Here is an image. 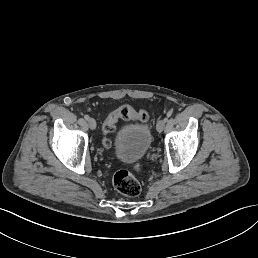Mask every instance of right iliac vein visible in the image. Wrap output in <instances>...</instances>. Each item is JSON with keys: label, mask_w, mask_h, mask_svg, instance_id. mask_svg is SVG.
Listing matches in <instances>:
<instances>
[{"label": "right iliac vein", "mask_w": 258, "mask_h": 258, "mask_svg": "<svg viewBox=\"0 0 258 258\" xmlns=\"http://www.w3.org/2000/svg\"><path fill=\"white\" fill-rule=\"evenodd\" d=\"M87 123H88L89 128H93V130H96L97 123L94 120V118H89Z\"/></svg>", "instance_id": "obj_1"}]
</instances>
